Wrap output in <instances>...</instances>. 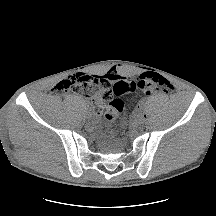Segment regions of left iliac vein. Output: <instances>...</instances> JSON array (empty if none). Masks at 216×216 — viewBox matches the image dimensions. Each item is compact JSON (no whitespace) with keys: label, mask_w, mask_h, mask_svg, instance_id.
<instances>
[{"label":"left iliac vein","mask_w":216,"mask_h":216,"mask_svg":"<svg viewBox=\"0 0 216 216\" xmlns=\"http://www.w3.org/2000/svg\"><path fill=\"white\" fill-rule=\"evenodd\" d=\"M144 120H145V117H144V113H142V112L138 113L134 119V121L137 125L142 124L144 122Z\"/></svg>","instance_id":"4c4485c4"}]
</instances>
